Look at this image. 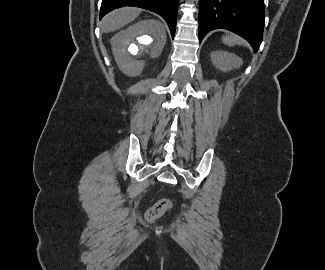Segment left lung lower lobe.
I'll list each match as a JSON object with an SVG mask.
<instances>
[{
    "label": "left lung lower lobe",
    "mask_w": 325,
    "mask_h": 270,
    "mask_svg": "<svg viewBox=\"0 0 325 270\" xmlns=\"http://www.w3.org/2000/svg\"><path fill=\"white\" fill-rule=\"evenodd\" d=\"M264 0H199V42L223 28L246 39L256 52L263 38Z\"/></svg>",
    "instance_id": "obj_1"
}]
</instances>
